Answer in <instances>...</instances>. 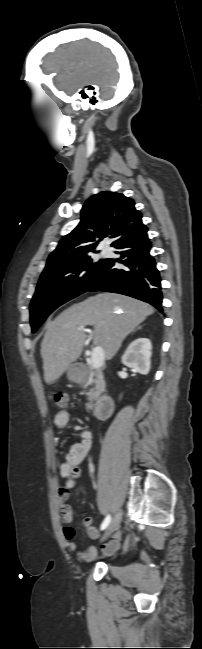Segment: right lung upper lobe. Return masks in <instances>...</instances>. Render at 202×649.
Segmentation results:
<instances>
[{
    "label": "right lung upper lobe",
    "mask_w": 202,
    "mask_h": 649,
    "mask_svg": "<svg viewBox=\"0 0 202 649\" xmlns=\"http://www.w3.org/2000/svg\"><path fill=\"white\" fill-rule=\"evenodd\" d=\"M134 205L133 199L117 192L103 191L91 196L81 210L80 223L49 255L40 278L71 270L77 259L94 251L107 236L114 238L111 245L115 246L146 229Z\"/></svg>",
    "instance_id": "obj_1"
}]
</instances>
